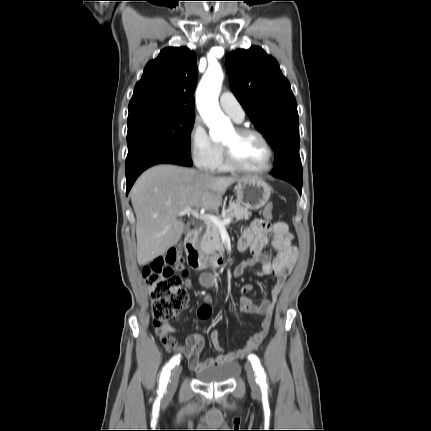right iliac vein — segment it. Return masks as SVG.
Listing matches in <instances>:
<instances>
[{
  "label": "right iliac vein",
  "mask_w": 431,
  "mask_h": 431,
  "mask_svg": "<svg viewBox=\"0 0 431 431\" xmlns=\"http://www.w3.org/2000/svg\"><path fill=\"white\" fill-rule=\"evenodd\" d=\"M181 372H182V366L181 365H177L173 368V370L171 372L170 382L168 385V391L169 392L174 391L175 388L177 387L179 376H180Z\"/></svg>",
  "instance_id": "obj_1"
}]
</instances>
